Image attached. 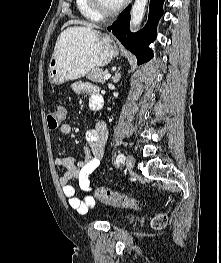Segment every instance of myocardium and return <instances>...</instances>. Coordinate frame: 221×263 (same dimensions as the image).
Segmentation results:
<instances>
[{"label":"myocardium","mask_w":221,"mask_h":263,"mask_svg":"<svg viewBox=\"0 0 221 263\" xmlns=\"http://www.w3.org/2000/svg\"><path fill=\"white\" fill-rule=\"evenodd\" d=\"M88 6L92 11H94L99 17L106 18V17H113L117 15L125 6L126 0H122L120 5L114 9H105L100 0H86Z\"/></svg>","instance_id":"myocardium-1"}]
</instances>
